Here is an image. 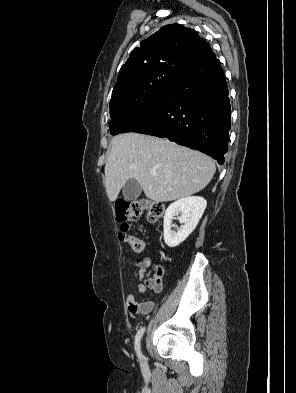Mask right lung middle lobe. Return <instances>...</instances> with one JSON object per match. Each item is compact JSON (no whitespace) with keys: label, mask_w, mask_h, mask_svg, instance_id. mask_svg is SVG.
I'll list each match as a JSON object with an SVG mask.
<instances>
[{"label":"right lung middle lobe","mask_w":296,"mask_h":393,"mask_svg":"<svg viewBox=\"0 0 296 393\" xmlns=\"http://www.w3.org/2000/svg\"><path fill=\"white\" fill-rule=\"evenodd\" d=\"M174 82L173 78L154 79L139 95L110 104V134H119L127 124L146 112Z\"/></svg>","instance_id":"1"}]
</instances>
